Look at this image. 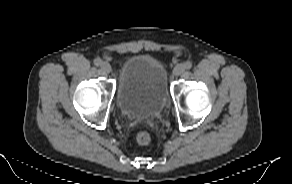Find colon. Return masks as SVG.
<instances>
[{
    "instance_id": "1",
    "label": "colon",
    "mask_w": 292,
    "mask_h": 184,
    "mask_svg": "<svg viewBox=\"0 0 292 184\" xmlns=\"http://www.w3.org/2000/svg\"><path fill=\"white\" fill-rule=\"evenodd\" d=\"M136 140L139 145L148 146L150 145L152 138L148 132L142 131L137 134Z\"/></svg>"
}]
</instances>
